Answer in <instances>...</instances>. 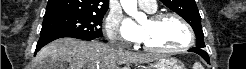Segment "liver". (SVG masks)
I'll return each mask as SVG.
<instances>
[{
  "label": "liver",
  "instance_id": "obj_1",
  "mask_svg": "<svg viewBox=\"0 0 246 69\" xmlns=\"http://www.w3.org/2000/svg\"><path fill=\"white\" fill-rule=\"evenodd\" d=\"M156 58L155 55L133 53L97 41L61 38L37 53L35 69H55L57 62L69 63V69H119L117 65L149 63Z\"/></svg>",
  "mask_w": 246,
  "mask_h": 69
}]
</instances>
